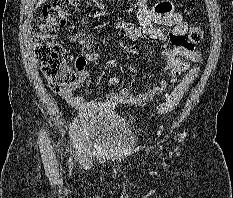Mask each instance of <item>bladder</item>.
Wrapping results in <instances>:
<instances>
[{"label":"bladder","instance_id":"obj_1","mask_svg":"<svg viewBox=\"0 0 233 198\" xmlns=\"http://www.w3.org/2000/svg\"><path fill=\"white\" fill-rule=\"evenodd\" d=\"M72 139L87 154L122 153L133 147L136 130L113 112H84L73 122Z\"/></svg>","mask_w":233,"mask_h":198}]
</instances>
